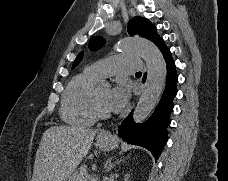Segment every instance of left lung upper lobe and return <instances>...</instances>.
<instances>
[{"label": "left lung upper lobe", "mask_w": 228, "mask_h": 181, "mask_svg": "<svg viewBox=\"0 0 228 181\" xmlns=\"http://www.w3.org/2000/svg\"><path fill=\"white\" fill-rule=\"evenodd\" d=\"M128 33L130 35H140L153 43H156L161 38L156 33L155 27L149 22V20L143 17H134L128 24ZM104 44V39L100 36L94 37L89 42V48L91 50H97ZM83 53L81 52L74 61L73 68L81 61Z\"/></svg>", "instance_id": "obj_1"}]
</instances>
